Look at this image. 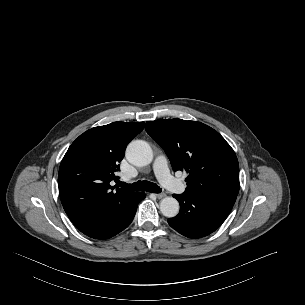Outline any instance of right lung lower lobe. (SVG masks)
I'll return each mask as SVG.
<instances>
[{"mask_svg": "<svg viewBox=\"0 0 305 305\" xmlns=\"http://www.w3.org/2000/svg\"><path fill=\"white\" fill-rule=\"evenodd\" d=\"M144 198L145 193L136 192L130 199L106 212H99L73 223L82 233L91 238H111L130 225L135 216L138 203Z\"/></svg>", "mask_w": 305, "mask_h": 305, "instance_id": "obj_1", "label": "right lung lower lobe"}]
</instances>
